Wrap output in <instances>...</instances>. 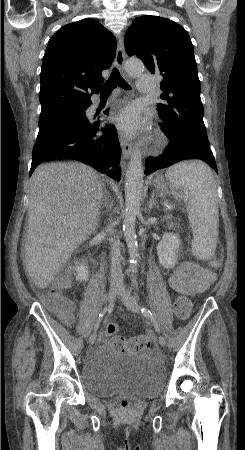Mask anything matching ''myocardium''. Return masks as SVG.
Segmentation results:
<instances>
[{
    "label": "myocardium",
    "instance_id": "obj_1",
    "mask_svg": "<svg viewBox=\"0 0 245 450\" xmlns=\"http://www.w3.org/2000/svg\"><path fill=\"white\" fill-rule=\"evenodd\" d=\"M159 141L161 143L165 142L166 141V136L164 134H161L160 137H159Z\"/></svg>",
    "mask_w": 245,
    "mask_h": 450
}]
</instances>
